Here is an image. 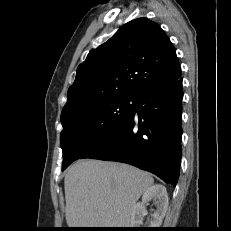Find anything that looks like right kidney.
I'll return each mask as SVG.
<instances>
[{
	"instance_id": "right-kidney-1",
	"label": "right kidney",
	"mask_w": 231,
	"mask_h": 231,
	"mask_svg": "<svg viewBox=\"0 0 231 231\" xmlns=\"http://www.w3.org/2000/svg\"><path fill=\"white\" fill-rule=\"evenodd\" d=\"M153 200L156 206L154 213L151 215L150 227L159 228L168 208V194L163 185L156 184L148 188L143 196L142 202L135 205L131 214V228H139L143 224V218L147 214L145 204Z\"/></svg>"
}]
</instances>
